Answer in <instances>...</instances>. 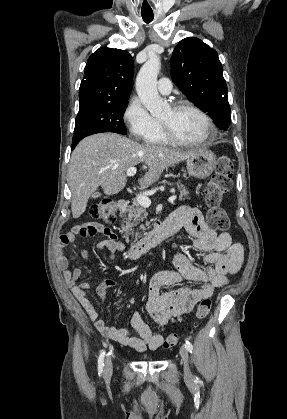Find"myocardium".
Returning <instances> with one entry per match:
<instances>
[{
	"label": "myocardium",
	"mask_w": 287,
	"mask_h": 419,
	"mask_svg": "<svg viewBox=\"0 0 287 419\" xmlns=\"http://www.w3.org/2000/svg\"><path fill=\"white\" fill-rule=\"evenodd\" d=\"M172 108L173 109H184V108H186V109H191V110L195 111L205 122V125H206V128H207V134L202 139L197 140V141L182 140V139L176 137L169 130V128L163 122L160 121L163 136L168 143H171V144H174V145H179V146L196 147V146H201V145L207 144L208 142L212 141L216 137L217 130H216V127H215L212 119L209 117V115L204 110H202L196 104L184 100V101H180V102L175 103L172 106Z\"/></svg>",
	"instance_id": "1"
}]
</instances>
